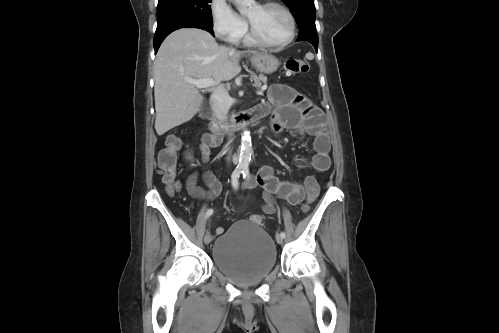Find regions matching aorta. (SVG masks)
<instances>
[{
	"mask_svg": "<svg viewBox=\"0 0 499 333\" xmlns=\"http://www.w3.org/2000/svg\"><path fill=\"white\" fill-rule=\"evenodd\" d=\"M238 4L240 13H244L254 3V0H234ZM251 137L250 132L243 130L241 138V150L239 156L238 168L241 170L248 169L251 160Z\"/></svg>",
	"mask_w": 499,
	"mask_h": 333,
	"instance_id": "1",
	"label": "aorta"
}]
</instances>
